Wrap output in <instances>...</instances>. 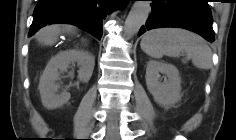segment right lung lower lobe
<instances>
[{
  "instance_id": "right-lung-lower-lobe-1",
  "label": "right lung lower lobe",
  "mask_w": 236,
  "mask_h": 140,
  "mask_svg": "<svg viewBox=\"0 0 236 140\" xmlns=\"http://www.w3.org/2000/svg\"><path fill=\"white\" fill-rule=\"evenodd\" d=\"M126 3L127 0H40L28 35L47 24L69 23L101 39L103 18Z\"/></svg>"
}]
</instances>
